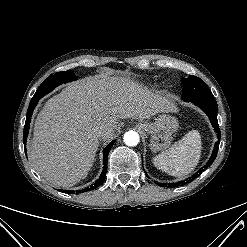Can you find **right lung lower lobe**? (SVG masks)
<instances>
[{"label":"right lung lower lobe","mask_w":247,"mask_h":247,"mask_svg":"<svg viewBox=\"0 0 247 247\" xmlns=\"http://www.w3.org/2000/svg\"><path fill=\"white\" fill-rule=\"evenodd\" d=\"M37 103H38V100H31V102L29 104L28 111H27L26 122H25L24 133H23V143H24V147H25V152H26V140H27V136H28V132H29L30 120H31L33 110L36 107ZM114 143H115V141H112L104 149V152H103V164H104V166H103V171H102L99 179L90 187L86 188L85 190H82V192L93 190V189H95V188H97L103 184L104 179H105V175L107 172L108 155H109V152H110L111 148L113 147ZM67 192L69 193L70 191H67Z\"/></svg>","instance_id":"obj_1"}]
</instances>
